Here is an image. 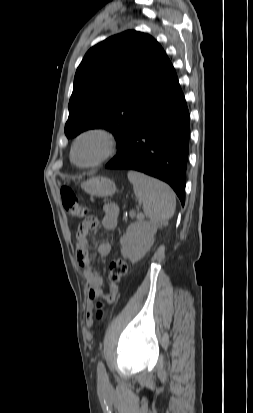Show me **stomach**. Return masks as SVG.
I'll return each mask as SVG.
<instances>
[{"label":"stomach","mask_w":253,"mask_h":413,"mask_svg":"<svg viewBox=\"0 0 253 413\" xmlns=\"http://www.w3.org/2000/svg\"><path fill=\"white\" fill-rule=\"evenodd\" d=\"M81 188L96 197L112 196L116 191L115 183L105 177H92L81 184Z\"/></svg>","instance_id":"obj_1"}]
</instances>
